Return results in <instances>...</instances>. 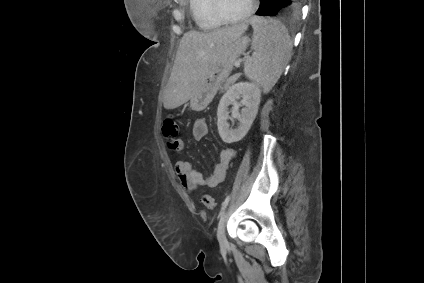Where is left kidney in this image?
<instances>
[{"label": "left kidney", "mask_w": 424, "mask_h": 283, "mask_svg": "<svg viewBox=\"0 0 424 283\" xmlns=\"http://www.w3.org/2000/svg\"><path fill=\"white\" fill-rule=\"evenodd\" d=\"M242 97L241 102H237ZM261 100V89L252 82H239L232 85L227 93L221 98L217 110V126L221 139L225 143L240 141L249 131L256 118ZM233 105L231 118L240 123L236 129H230L228 124V106ZM240 106H245L241 113Z\"/></svg>", "instance_id": "left-kidney-1"}]
</instances>
